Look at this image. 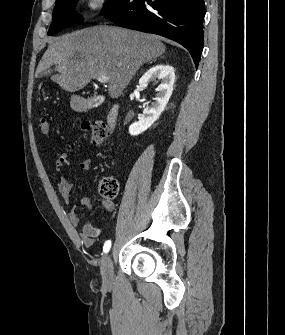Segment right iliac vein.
Returning a JSON list of instances; mask_svg holds the SVG:
<instances>
[{"instance_id":"obj_1","label":"right iliac vein","mask_w":285,"mask_h":335,"mask_svg":"<svg viewBox=\"0 0 285 335\" xmlns=\"http://www.w3.org/2000/svg\"><path fill=\"white\" fill-rule=\"evenodd\" d=\"M101 273L103 283L107 286H110L113 282V261L111 254H108L105 258Z\"/></svg>"}]
</instances>
